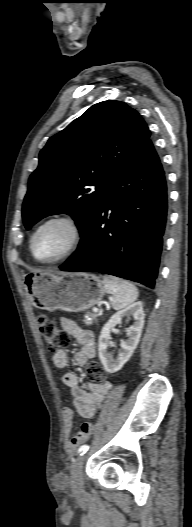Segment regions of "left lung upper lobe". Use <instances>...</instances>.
<instances>
[{
	"label": "left lung upper lobe",
	"mask_w": 192,
	"mask_h": 527,
	"mask_svg": "<svg viewBox=\"0 0 192 527\" xmlns=\"http://www.w3.org/2000/svg\"><path fill=\"white\" fill-rule=\"evenodd\" d=\"M150 134L139 113L124 102L103 101L90 107L41 150L23 203L26 229L63 212L73 217L82 235L111 183Z\"/></svg>",
	"instance_id": "1"
}]
</instances>
